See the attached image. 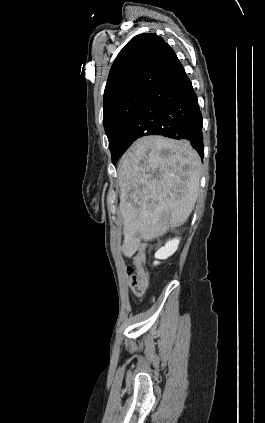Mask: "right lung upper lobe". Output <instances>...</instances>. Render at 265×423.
<instances>
[{
  "label": "right lung upper lobe",
  "instance_id": "obj_1",
  "mask_svg": "<svg viewBox=\"0 0 265 423\" xmlns=\"http://www.w3.org/2000/svg\"><path fill=\"white\" fill-rule=\"evenodd\" d=\"M177 58L156 34L133 37L116 57L104 91V109L135 91H150Z\"/></svg>",
  "mask_w": 265,
  "mask_h": 423
}]
</instances>
